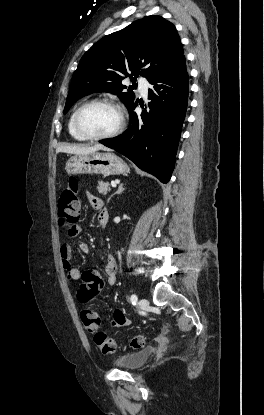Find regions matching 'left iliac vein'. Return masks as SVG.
Wrapping results in <instances>:
<instances>
[{
  "instance_id": "1",
  "label": "left iliac vein",
  "mask_w": 264,
  "mask_h": 415,
  "mask_svg": "<svg viewBox=\"0 0 264 415\" xmlns=\"http://www.w3.org/2000/svg\"><path fill=\"white\" fill-rule=\"evenodd\" d=\"M148 304H149V302H148V300H147V299H145V298H141V299L139 300V306H140L141 308H145V307H147V306H148Z\"/></svg>"
}]
</instances>
